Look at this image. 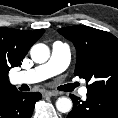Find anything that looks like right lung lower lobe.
<instances>
[{
  "mask_svg": "<svg viewBox=\"0 0 118 118\" xmlns=\"http://www.w3.org/2000/svg\"><path fill=\"white\" fill-rule=\"evenodd\" d=\"M40 93L19 92L17 89L0 94V118H30Z\"/></svg>",
  "mask_w": 118,
  "mask_h": 118,
  "instance_id": "obj_1",
  "label": "right lung lower lobe"
}]
</instances>
